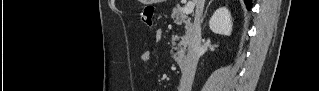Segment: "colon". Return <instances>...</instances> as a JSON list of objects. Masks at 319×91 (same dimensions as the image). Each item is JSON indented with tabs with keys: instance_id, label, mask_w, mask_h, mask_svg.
<instances>
[{
	"instance_id": "colon-1",
	"label": "colon",
	"mask_w": 319,
	"mask_h": 91,
	"mask_svg": "<svg viewBox=\"0 0 319 91\" xmlns=\"http://www.w3.org/2000/svg\"><path fill=\"white\" fill-rule=\"evenodd\" d=\"M155 8L153 6H146L141 13V21L147 27H152L154 25V16Z\"/></svg>"
}]
</instances>
